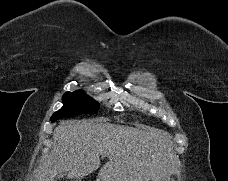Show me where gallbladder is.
<instances>
[{
    "label": "gallbladder",
    "instance_id": "gallbladder-1",
    "mask_svg": "<svg viewBox=\"0 0 228 181\" xmlns=\"http://www.w3.org/2000/svg\"><path fill=\"white\" fill-rule=\"evenodd\" d=\"M65 173H61V175H57L56 181H60V179H63Z\"/></svg>",
    "mask_w": 228,
    "mask_h": 181
}]
</instances>
